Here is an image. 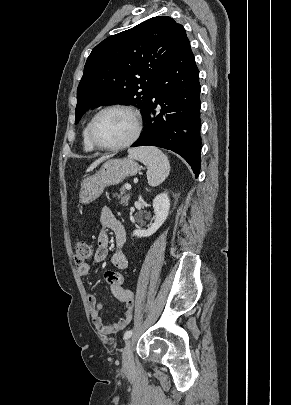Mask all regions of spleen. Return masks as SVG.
Returning a JSON list of instances; mask_svg holds the SVG:
<instances>
[{"mask_svg":"<svg viewBox=\"0 0 291 405\" xmlns=\"http://www.w3.org/2000/svg\"><path fill=\"white\" fill-rule=\"evenodd\" d=\"M128 156L147 166V181L150 186L160 185L169 175L170 163L168 158L158 148H134L129 150Z\"/></svg>","mask_w":291,"mask_h":405,"instance_id":"1","label":"spleen"}]
</instances>
